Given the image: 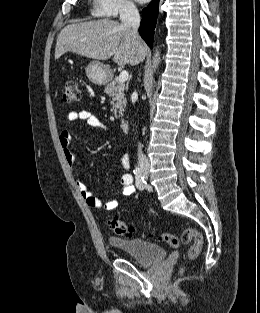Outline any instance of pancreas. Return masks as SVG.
Listing matches in <instances>:
<instances>
[{"mask_svg":"<svg viewBox=\"0 0 260 313\" xmlns=\"http://www.w3.org/2000/svg\"><path fill=\"white\" fill-rule=\"evenodd\" d=\"M125 84L119 82L118 78H115L108 83L104 89V92L108 94L111 99L112 111L116 118L123 116V112L127 103L124 97Z\"/></svg>","mask_w":260,"mask_h":313,"instance_id":"obj_1","label":"pancreas"}]
</instances>
